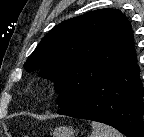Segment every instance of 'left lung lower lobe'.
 Here are the masks:
<instances>
[{
    "mask_svg": "<svg viewBox=\"0 0 144 137\" xmlns=\"http://www.w3.org/2000/svg\"><path fill=\"white\" fill-rule=\"evenodd\" d=\"M143 85L133 51L84 96L58 114L110 125L128 137H144Z\"/></svg>",
    "mask_w": 144,
    "mask_h": 137,
    "instance_id": "obj_1",
    "label": "left lung lower lobe"
}]
</instances>
